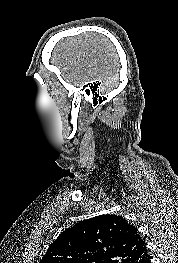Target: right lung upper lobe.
<instances>
[{
	"label": "right lung upper lobe",
	"mask_w": 178,
	"mask_h": 263,
	"mask_svg": "<svg viewBox=\"0 0 178 263\" xmlns=\"http://www.w3.org/2000/svg\"><path fill=\"white\" fill-rule=\"evenodd\" d=\"M148 257L137 228L122 216L106 214L66 229L39 263H143Z\"/></svg>",
	"instance_id": "1"
}]
</instances>
